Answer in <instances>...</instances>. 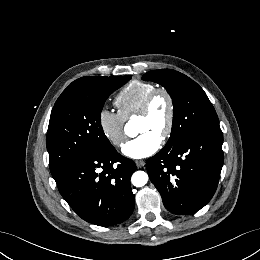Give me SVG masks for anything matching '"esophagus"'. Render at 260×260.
<instances>
[{"label":"esophagus","instance_id":"obj_1","mask_svg":"<svg viewBox=\"0 0 260 260\" xmlns=\"http://www.w3.org/2000/svg\"><path fill=\"white\" fill-rule=\"evenodd\" d=\"M135 163L138 168H142L145 165V161L143 160H136Z\"/></svg>","mask_w":260,"mask_h":260}]
</instances>
